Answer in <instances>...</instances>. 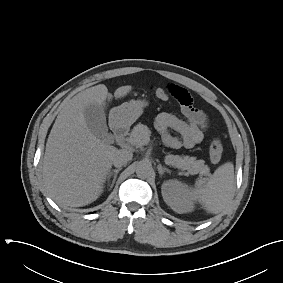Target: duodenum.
Masks as SVG:
<instances>
[{"mask_svg":"<svg viewBox=\"0 0 283 283\" xmlns=\"http://www.w3.org/2000/svg\"><path fill=\"white\" fill-rule=\"evenodd\" d=\"M114 137L118 143H122L127 134H128V127L120 122H115L112 127Z\"/></svg>","mask_w":283,"mask_h":283,"instance_id":"obj_1","label":"duodenum"}]
</instances>
